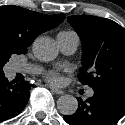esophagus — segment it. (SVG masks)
<instances>
[{
	"label": "esophagus",
	"mask_w": 125,
	"mask_h": 125,
	"mask_svg": "<svg viewBox=\"0 0 125 125\" xmlns=\"http://www.w3.org/2000/svg\"><path fill=\"white\" fill-rule=\"evenodd\" d=\"M50 89H51L52 92H54L57 95H63L64 94V91H62L60 89H57V88H54V87H51V86H50Z\"/></svg>",
	"instance_id": "obj_1"
}]
</instances>
